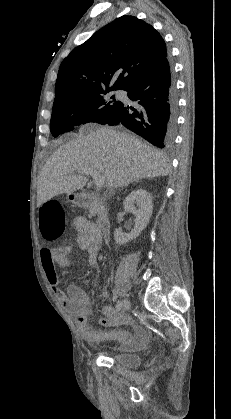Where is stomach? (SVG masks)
<instances>
[{
	"mask_svg": "<svg viewBox=\"0 0 231 419\" xmlns=\"http://www.w3.org/2000/svg\"><path fill=\"white\" fill-rule=\"evenodd\" d=\"M67 197L72 203L76 204L79 201L78 196L76 194L70 193L67 195Z\"/></svg>",
	"mask_w": 231,
	"mask_h": 419,
	"instance_id": "0dacf381",
	"label": "stomach"
}]
</instances>
